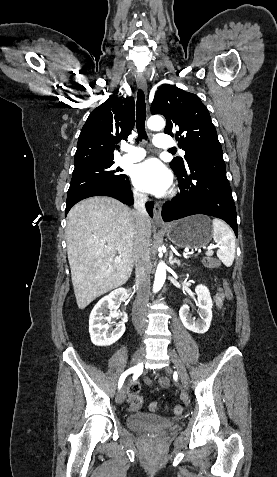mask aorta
<instances>
[{
  "mask_svg": "<svg viewBox=\"0 0 277 477\" xmlns=\"http://www.w3.org/2000/svg\"><path fill=\"white\" fill-rule=\"evenodd\" d=\"M147 126L151 130H161L165 127V121L160 116H152L147 121ZM166 264L164 262H160L156 269L155 280L153 284V291H159L166 279Z\"/></svg>",
  "mask_w": 277,
  "mask_h": 477,
  "instance_id": "obj_1",
  "label": "aorta"
}]
</instances>
